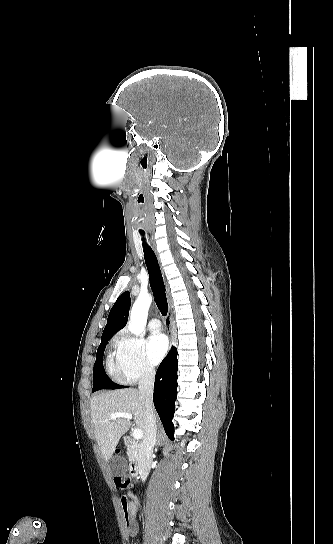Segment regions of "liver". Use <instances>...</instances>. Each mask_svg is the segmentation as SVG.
<instances>
[{"label": "liver", "mask_w": 333, "mask_h": 544, "mask_svg": "<svg viewBox=\"0 0 333 544\" xmlns=\"http://www.w3.org/2000/svg\"><path fill=\"white\" fill-rule=\"evenodd\" d=\"M90 410L95 437L106 462L112 457L120 438L131 426V421L126 418L112 420V413L132 414L136 429L145 432V399L134 388L95 395L91 399Z\"/></svg>", "instance_id": "obj_1"}]
</instances>
